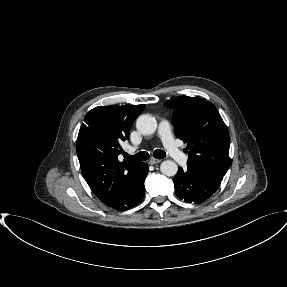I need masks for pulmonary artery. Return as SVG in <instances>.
<instances>
[{"label":"pulmonary artery","instance_id":"obj_1","mask_svg":"<svg viewBox=\"0 0 287 287\" xmlns=\"http://www.w3.org/2000/svg\"><path fill=\"white\" fill-rule=\"evenodd\" d=\"M159 135L162 139L166 153L172 157L177 163L185 164L188 156L177 146L175 139L171 133V127L167 120H162L159 124ZM131 152L135 151V148L129 149Z\"/></svg>","mask_w":287,"mask_h":287}]
</instances>
